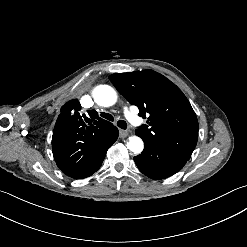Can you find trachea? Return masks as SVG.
Wrapping results in <instances>:
<instances>
[{"label":"trachea","mask_w":247,"mask_h":247,"mask_svg":"<svg viewBox=\"0 0 247 247\" xmlns=\"http://www.w3.org/2000/svg\"><path fill=\"white\" fill-rule=\"evenodd\" d=\"M101 116L109 121H113V116L110 115L109 113H101ZM117 125L122 128V129H126L127 128V124L126 121L120 120L117 122Z\"/></svg>","instance_id":"3493384b"}]
</instances>
